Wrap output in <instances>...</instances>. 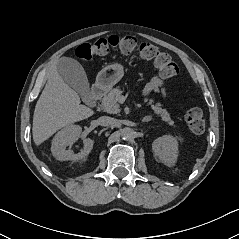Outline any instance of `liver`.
Returning <instances> with one entry per match:
<instances>
[{"label": "liver", "mask_w": 239, "mask_h": 239, "mask_svg": "<svg viewBox=\"0 0 239 239\" xmlns=\"http://www.w3.org/2000/svg\"><path fill=\"white\" fill-rule=\"evenodd\" d=\"M80 103L78 93L69 87L54 66L35 106L34 143L38 146L59 129L94 114L92 109Z\"/></svg>", "instance_id": "1"}]
</instances>
